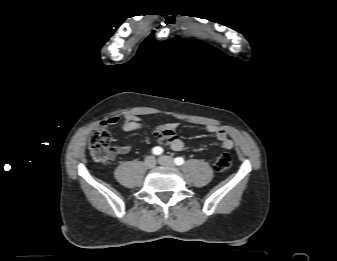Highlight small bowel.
I'll list each match as a JSON object with an SVG mask.
<instances>
[{"mask_svg":"<svg viewBox=\"0 0 337 261\" xmlns=\"http://www.w3.org/2000/svg\"><path fill=\"white\" fill-rule=\"evenodd\" d=\"M120 122L119 117H110L100 123L101 128H107L108 126L116 125ZM144 124L135 116H125L122 121V129L125 132H132L144 129ZM178 128V123L170 122L164 124H158L151 127L152 135L164 145H168L174 151H182L185 148V143L180 139L176 130ZM206 131L213 134L219 141L223 149L230 150L233 148V141L228 136L226 130L217 125H207ZM131 148L128 145H121L117 147V153L121 155L128 154Z\"/></svg>","mask_w":337,"mask_h":261,"instance_id":"obj_1","label":"small bowel"}]
</instances>
